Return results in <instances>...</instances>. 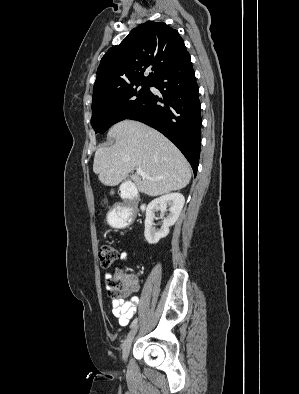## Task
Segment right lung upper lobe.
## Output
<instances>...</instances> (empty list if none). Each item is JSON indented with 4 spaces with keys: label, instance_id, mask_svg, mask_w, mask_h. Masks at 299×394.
I'll return each instance as SVG.
<instances>
[{
    "label": "right lung upper lobe",
    "instance_id": "cb5924a9",
    "mask_svg": "<svg viewBox=\"0 0 299 394\" xmlns=\"http://www.w3.org/2000/svg\"><path fill=\"white\" fill-rule=\"evenodd\" d=\"M186 54L177 30L164 22L141 24L102 57L93 94L131 83H152ZM146 70L152 71L147 77L144 76Z\"/></svg>",
    "mask_w": 299,
    "mask_h": 394
}]
</instances>
